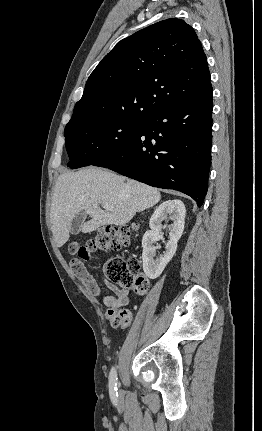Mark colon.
I'll use <instances>...</instances> for the list:
<instances>
[{"mask_svg": "<svg viewBox=\"0 0 262 431\" xmlns=\"http://www.w3.org/2000/svg\"><path fill=\"white\" fill-rule=\"evenodd\" d=\"M133 228L130 226L100 228L90 239L84 243H71L69 252L77 255L78 260L73 266L75 272L82 270L81 260L87 261L99 251L120 249L128 245L133 238ZM83 264V263H82ZM105 279L123 288H130L135 294L142 295L148 289V281L140 272V260L135 257H110L102 265ZM112 327H127L131 316L126 310H121L109 317Z\"/></svg>", "mask_w": 262, "mask_h": 431, "instance_id": "1", "label": "colon"}]
</instances>
